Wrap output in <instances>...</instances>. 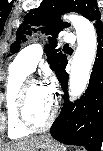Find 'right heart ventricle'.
I'll list each match as a JSON object with an SVG mask.
<instances>
[{
    "mask_svg": "<svg viewBox=\"0 0 103 151\" xmlns=\"http://www.w3.org/2000/svg\"><path fill=\"white\" fill-rule=\"evenodd\" d=\"M29 72L14 61L8 72L5 86V111L7 118V132L11 139H21L29 135V131L21 128L16 120V102L19 90Z\"/></svg>",
    "mask_w": 103,
    "mask_h": 151,
    "instance_id": "obj_1",
    "label": "right heart ventricle"
}]
</instances>
